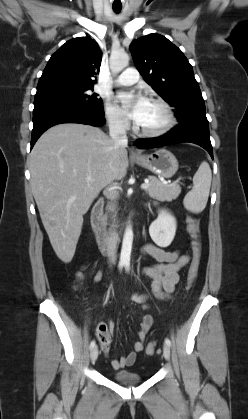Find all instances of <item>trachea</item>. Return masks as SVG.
<instances>
[{
  "label": "trachea",
  "mask_w": 248,
  "mask_h": 419,
  "mask_svg": "<svg viewBox=\"0 0 248 419\" xmlns=\"http://www.w3.org/2000/svg\"><path fill=\"white\" fill-rule=\"evenodd\" d=\"M112 8L116 13H119L122 9V6H113Z\"/></svg>",
  "instance_id": "obj_1"
}]
</instances>
